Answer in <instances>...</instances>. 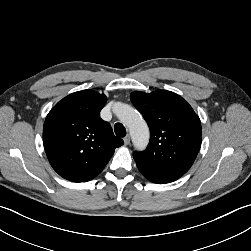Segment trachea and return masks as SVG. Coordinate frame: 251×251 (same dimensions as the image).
Segmentation results:
<instances>
[{
	"instance_id": "trachea-1",
	"label": "trachea",
	"mask_w": 251,
	"mask_h": 251,
	"mask_svg": "<svg viewBox=\"0 0 251 251\" xmlns=\"http://www.w3.org/2000/svg\"><path fill=\"white\" fill-rule=\"evenodd\" d=\"M114 131L115 134L119 137H124L126 136V129L121 123H116L114 126Z\"/></svg>"
}]
</instances>
